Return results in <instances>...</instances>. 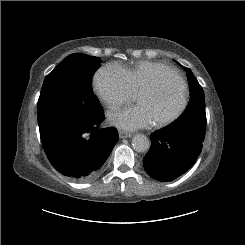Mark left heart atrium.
<instances>
[{
  "mask_svg": "<svg viewBox=\"0 0 245 245\" xmlns=\"http://www.w3.org/2000/svg\"><path fill=\"white\" fill-rule=\"evenodd\" d=\"M111 125L125 131H135L151 126L155 121L146 106H128L108 114Z\"/></svg>",
  "mask_w": 245,
  "mask_h": 245,
  "instance_id": "obj_1",
  "label": "left heart atrium"
}]
</instances>
